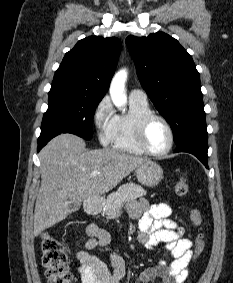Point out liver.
<instances>
[{"label":"liver","instance_id":"obj_1","mask_svg":"<svg viewBox=\"0 0 233 283\" xmlns=\"http://www.w3.org/2000/svg\"><path fill=\"white\" fill-rule=\"evenodd\" d=\"M73 134L54 137L39 153L41 186L34 210V236L64 220L72 204L100 197L138 166L150 161L112 149H85ZM93 171L100 172L90 176Z\"/></svg>","mask_w":233,"mask_h":283}]
</instances>
